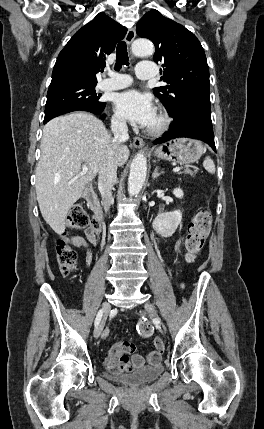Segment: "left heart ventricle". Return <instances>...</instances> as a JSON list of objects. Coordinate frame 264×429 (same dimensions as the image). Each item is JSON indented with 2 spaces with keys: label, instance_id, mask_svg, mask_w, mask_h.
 Listing matches in <instances>:
<instances>
[{
  "label": "left heart ventricle",
  "instance_id": "b2bd125f",
  "mask_svg": "<svg viewBox=\"0 0 264 429\" xmlns=\"http://www.w3.org/2000/svg\"><path fill=\"white\" fill-rule=\"evenodd\" d=\"M156 122H157V118L155 116L154 119L152 120V122L149 125H154V124H156Z\"/></svg>",
  "mask_w": 264,
  "mask_h": 429
}]
</instances>
